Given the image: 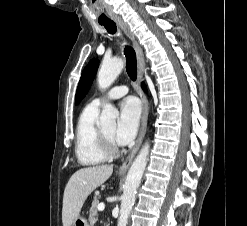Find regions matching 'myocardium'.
Masks as SVG:
<instances>
[{"mask_svg": "<svg viewBox=\"0 0 247 226\" xmlns=\"http://www.w3.org/2000/svg\"><path fill=\"white\" fill-rule=\"evenodd\" d=\"M98 146L106 158L115 157L119 153V147L111 142L101 129L98 130Z\"/></svg>", "mask_w": 247, "mask_h": 226, "instance_id": "f54148a6", "label": "myocardium"}]
</instances>
